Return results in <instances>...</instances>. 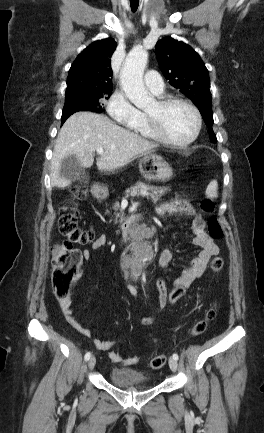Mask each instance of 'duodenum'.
Instances as JSON below:
<instances>
[{
	"instance_id": "duodenum-1",
	"label": "duodenum",
	"mask_w": 264,
	"mask_h": 433,
	"mask_svg": "<svg viewBox=\"0 0 264 433\" xmlns=\"http://www.w3.org/2000/svg\"><path fill=\"white\" fill-rule=\"evenodd\" d=\"M93 195L95 198H103V191L99 188H93ZM138 222V217H134L130 219L129 221H126L121 224L120 231L118 234L114 237V241L118 244H121L124 242L125 236L132 233V228L136 223ZM153 228H147L143 230V233L146 236H151L153 234ZM152 249L145 244H140L135 252V255L140 257V262L131 270L132 275H138L141 273L143 269L142 265V259L146 257L147 259L151 258L152 256Z\"/></svg>"
}]
</instances>
